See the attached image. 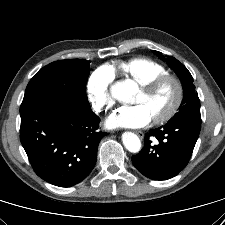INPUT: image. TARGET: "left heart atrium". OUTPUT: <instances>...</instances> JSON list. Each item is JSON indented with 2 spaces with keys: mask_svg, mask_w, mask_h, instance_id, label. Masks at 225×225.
<instances>
[{
  "mask_svg": "<svg viewBox=\"0 0 225 225\" xmlns=\"http://www.w3.org/2000/svg\"><path fill=\"white\" fill-rule=\"evenodd\" d=\"M153 119L150 108L144 103L121 106L107 120V125L113 128H140Z\"/></svg>",
  "mask_w": 225,
  "mask_h": 225,
  "instance_id": "obj_1",
  "label": "left heart atrium"
}]
</instances>
